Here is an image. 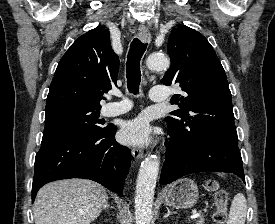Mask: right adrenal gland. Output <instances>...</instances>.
Returning a JSON list of instances; mask_svg holds the SVG:
<instances>
[{"mask_svg": "<svg viewBox=\"0 0 275 224\" xmlns=\"http://www.w3.org/2000/svg\"><path fill=\"white\" fill-rule=\"evenodd\" d=\"M107 208H111V209H114L113 206H110L109 204L105 205L104 209H107Z\"/></svg>", "mask_w": 275, "mask_h": 224, "instance_id": "right-adrenal-gland-1", "label": "right adrenal gland"}]
</instances>
